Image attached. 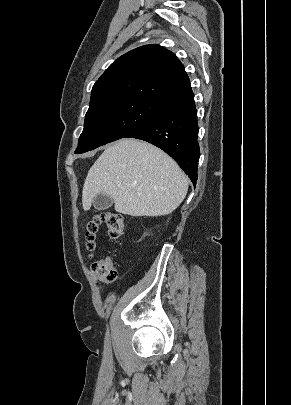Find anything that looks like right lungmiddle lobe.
I'll return each instance as SVG.
<instances>
[{
	"label": "right lung middle lobe",
	"mask_w": 291,
	"mask_h": 405,
	"mask_svg": "<svg viewBox=\"0 0 291 405\" xmlns=\"http://www.w3.org/2000/svg\"><path fill=\"white\" fill-rule=\"evenodd\" d=\"M165 104L145 98H128L90 107L75 154L126 137L151 120Z\"/></svg>",
	"instance_id": "right-lung-middle-lobe-1"
}]
</instances>
